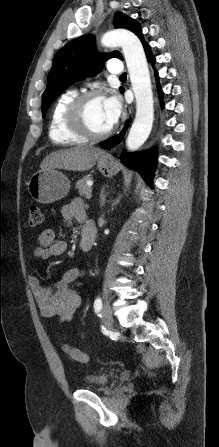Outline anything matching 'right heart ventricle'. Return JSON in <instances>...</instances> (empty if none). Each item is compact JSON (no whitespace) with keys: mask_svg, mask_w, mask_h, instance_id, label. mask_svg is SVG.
Here are the masks:
<instances>
[{"mask_svg":"<svg viewBox=\"0 0 219 447\" xmlns=\"http://www.w3.org/2000/svg\"><path fill=\"white\" fill-rule=\"evenodd\" d=\"M76 95V91L65 92L57 99L51 110L48 135L55 144L74 145L84 143L87 140L73 132L67 126L64 118L68 104Z\"/></svg>","mask_w":219,"mask_h":447,"instance_id":"1","label":"right heart ventricle"}]
</instances>
